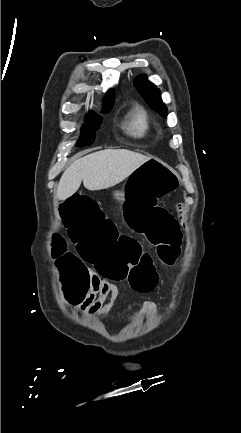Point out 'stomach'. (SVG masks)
<instances>
[{
  "label": "stomach",
  "mask_w": 241,
  "mask_h": 433,
  "mask_svg": "<svg viewBox=\"0 0 241 433\" xmlns=\"http://www.w3.org/2000/svg\"><path fill=\"white\" fill-rule=\"evenodd\" d=\"M124 193H125V191H124V189H122V190H116V191H114V193H113V197H114V199L118 202V203H120L121 204V201L122 200H124Z\"/></svg>",
  "instance_id": "1"
}]
</instances>
